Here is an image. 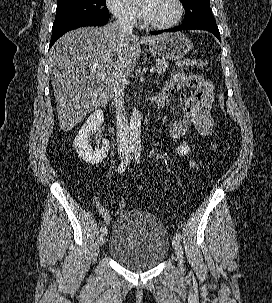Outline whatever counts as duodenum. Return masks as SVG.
<instances>
[{
    "label": "duodenum",
    "instance_id": "410a0bca",
    "mask_svg": "<svg viewBox=\"0 0 272 303\" xmlns=\"http://www.w3.org/2000/svg\"><path fill=\"white\" fill-rule=\"evenodd\" d=\"M171 96L168 92L163 90L158 95L151 98L150 102L154 107L161 108L169 103Z\"/></svg>",
    "mask_w": 272,
    "mask_h": 303
}]
</instances>
